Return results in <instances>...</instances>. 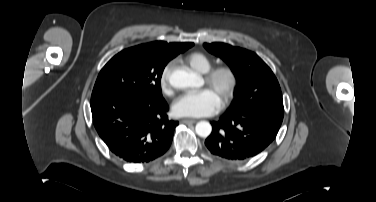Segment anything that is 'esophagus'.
Masks as SVG:
<instances>
[{"label":"esophagus","instance_id":"1","mask_svg":"<svg viewBox=\"0 0 376 202\" xmlns=\"http://www.w3.org/2000/svg\"><path fill=\"white\" fill-rule=\"evenodd\" d=\"M181 122L185 123V124H193V123L196 122V120H194V119H183Z\"/></svg>","mask_w":376,"mask_h":202}]
</instances>
